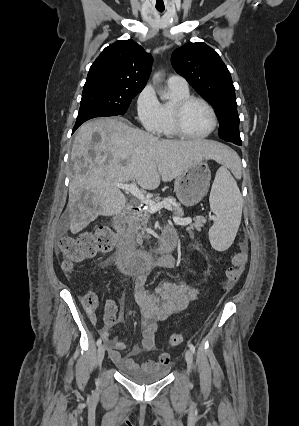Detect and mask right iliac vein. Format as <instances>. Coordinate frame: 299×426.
I'll return each mask as SVG.
<instances>
[{
    "instance_id": "right-iliac-vein-1",
    "label": "right iliac vein",
    "mask_w": 299,
    "mask_h": 426,
    "mask_svg": "<svg viewBox=\"0 0 299 426\" xmlns=\"http://www.w3.org/2000/svg\"><path fill=\"white\" fill-rule=\"evenodd\" d=\"M104 355H105V346L100 345L98 347V350H97V361H98V364H99L100 367H101L102 361L104 359Z\"/></svg>"
}]
</instances>
